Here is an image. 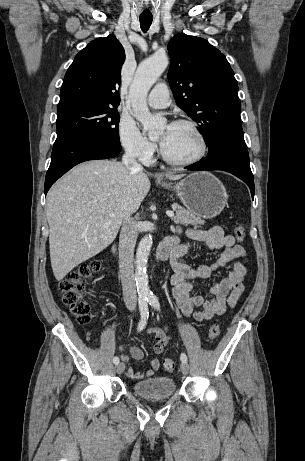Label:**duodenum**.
Returning <instances> with one entry per match:
<instances>
[{"mask_svg":"<svg viewBox=\"0 0 305 461\" xmlns=\"http://www.w3.org/2000/svg\"><path fill=\"white\" fill-rule=\"evenodd\" d=\"M179 246V238L177 236H171L166 238L164 241H162L156 252V259L158 261H164L167 260L171 254V251H173L176 247ZM118 251V245L115 244L113 246V252L114 254H117Z\"/></svg>","mask_w":305,"mask_h":461,"instance_id":"410a0bca","label":"duodenum"}]
</instances>
